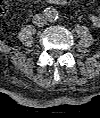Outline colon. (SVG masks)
Instances as JSON below:
<instances>
[{
  "mask_svg": "<svg viewBox=\"0 0 100 118\" xmlns=\"http://www.w3.org/2000/svg\"><path fill=\"white\" fill-rule=\"evenodd\" d=\"M66 1H71V0H66ZM6 3L7 0H0V11L4 12L6 10Z\"/></svg>",
  "mask_w": 100,
  "mask_h": 118,
  "instance_id": "5ec220e1",
  "label": "colon"
}]
</instances>
